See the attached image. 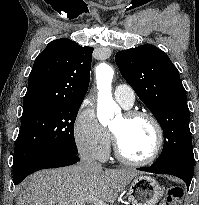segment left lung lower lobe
<instances>
[{"mask_svg":"<svg viewBox=\"0 0 199 205\" xmlns=\"http://www.w3.org/2000/svg\"><path fill=\"white\" fill-rule=\"evenodd\" d=\"M138 170L152 172L156 174H170L177 176L186 183L187 190L189 189L194 171L180 164H166L160 166L151 165L150 167L138 168Z\"/></svg>","mask_w":199,"mask_h":205,"instance_id":"1","label":"left lung lower lobe"}]
</instances>
